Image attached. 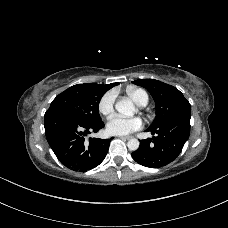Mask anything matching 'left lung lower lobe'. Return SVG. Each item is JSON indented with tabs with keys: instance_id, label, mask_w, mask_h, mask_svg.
Returning <instances> with one entry per match:
<instances>
[{
	"instance_id": "left-lung-lower-lobe-1",
	"label": "left lung lower lobe",
	"mask_w": 228,
	"mask_h": 228,
	"mask_svg": "<svg viewBox=\"0 0 228 228\" xmlns=\"http://www.w3.org/2000/svg\"><path fill=\"white\" fill-rule=\"evenodd\" d=\"M177 121L181 126H175ZM148 131L155 136L141 140L140 147L132 153L133 159L150 168L166 166L178 157L189 137L190 115L180 116Z\"/></svg>"
}]
</instances>
